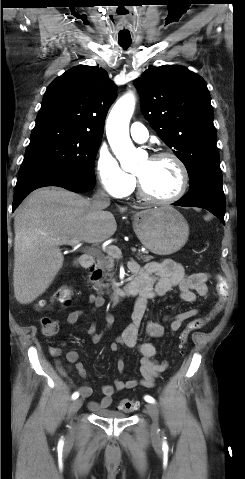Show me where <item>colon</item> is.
Here are the masks:
<instances>
[{
	"instance_id": "5ec220e1",
	"label": "colon",
	"mask_w": 245,
	"mask_h": 479,
	"mask_svg": "<svg viewBox=\"0 0 245 479\" xmlns=\"http://www.w3.org/2000/svg\"><path fill=\"white\" fill-rule=\"evenodd\" d=\"M216 292L218 295V300L214 304L211 311L203 317H199L188 322L180 333L179 344L182 348L187 345L190 334L192 332L205 327L223 309L224 304L228 298V290L222 279H220L217 283ZM72 301L73 291L71 287L68 285H62L55 291L54 295L49 301L41 300L38 303V308L41 310L46 308L65 309L72 304ZM41 327L44 335H55L59 330V322L54 318L46 316L41 319ZM137 407L138 403L131 399H122L118 404V409L125 413L132 412Z\"/></svg>"
}]
</instances>
